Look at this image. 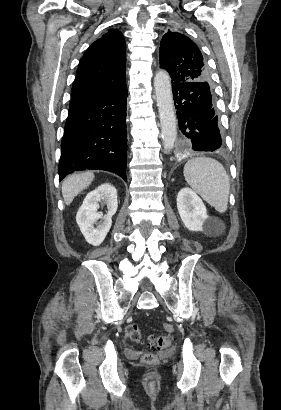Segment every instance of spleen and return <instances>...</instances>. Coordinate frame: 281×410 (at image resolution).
<instances>
[{"label":"spleen","mask_w":281,"mask_h":410,"mask_svg":"<svg viewBox=\"0 0 281 410\" xmlns=\"http://www.w3.org/2000/svg\"><path fill=\"white\" fill-rule=\"evenodd\" d=\"M187 183L218 212L228 207L229 177L223 165L209 157L190 159L184 166Z\"/></svg>","instance_id":"obj_1"}]
</instances>
